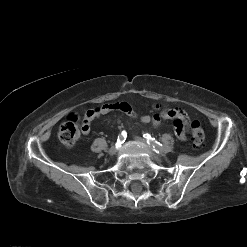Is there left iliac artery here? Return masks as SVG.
<instances>
[{
    "label": "left iliac artery",
    "instance_id": "obj_1",
    "mask_svg": "<svg viewBox=\"0 0 247 247\" xmlns=\"http://www.w3.org/2000/svg\"><path fill=\"white\" fill-rule=\"evenodd\" d=\"M143 137L146 139L147 143L153 147V150L156 153H160L164 150L163 145L161 143L155 141V139L152 138L150 134L145 133V134H143Z\"/></svg>",
    "mask_w": 247,
    "mask_h": 247
}]
</instances>
